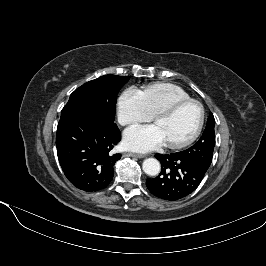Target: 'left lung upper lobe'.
Here are the masks:
<instances>
[{
	"instance_id": "1",
	"label": "left lung upper lobe",
	"mask_w": 266,
	"mask_h": 266,
	"mask_svg": "<svg viewBox=\"0 0 266 266\" xmlns=\"http://www.w3.org/2000/svg\"><path fill=\"white\" fill-rule=\"evenodd\" d=\"M214 125L215 119L213 114L210 113L201 138L190 148L179 152L184 159L191 161L205 171H207L211 164L215 146Z\"/></svg>"
}]
</instances>
